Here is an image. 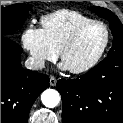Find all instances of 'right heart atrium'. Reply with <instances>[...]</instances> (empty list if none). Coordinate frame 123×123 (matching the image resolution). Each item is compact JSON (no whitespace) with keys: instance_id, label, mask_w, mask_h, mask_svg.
Instances as JSON below:
<instances>
[{"instance_id":"1","label":"right heart atrium","mask_w":123,"mask_h":123,"mask_svg":"<svg viewBox=\"0 0 123 123\" xmlns=\"http://www.w3.org/2000/svg\"><path fill=\"white\" fill-rule=\"evenodd\" d=\"M21 43L37 68H42L46 62L53 61L57 57V52L49 45L42 29L34 25L24 28Z\"/></svg>"}]
</instances>
